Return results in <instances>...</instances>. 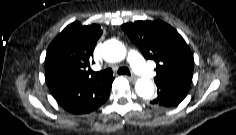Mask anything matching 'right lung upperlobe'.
<instances>
[{
  "mask_svg": "<svg viewBox=\"0 0 236 135\" xmlns=\"http://www.w3.org/2000/svg\"><path fill=\"white\" fill-rule=\"evenodd\" d=\"M102 35L97 24L83 26L79 22L68 25L51 42L45 59L48 86L58 82H89L98 78L89 76L87 67L94 47Z\"/></svg>",
  "mask_w": 236,
  "mask_h": 135,
  "instance_id": "obj_1",
  "label": "right lung upper lobe"
}]
</instances>
